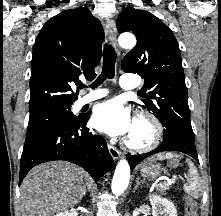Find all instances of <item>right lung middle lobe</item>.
I'll use <instances>...</instances> for the list:
<instances>
[{"mask_svg":"<svg viewBox=\"0 0 221 216\" xmlns=\"http://www.w3.org/2000/svg\"><path fill=\"white\" fill-rule=\"evenodd\" d=\"M71 105L52 108L30 115L25 145L37 140L47 132L76 120Z\"/></svg>","mask_w":221,"mask_h":216,"instance_id":"right-lung-middle-lobe-1","label":"right lung middle lobe"}]
</instances>
